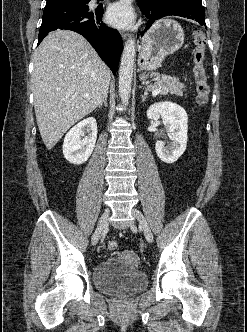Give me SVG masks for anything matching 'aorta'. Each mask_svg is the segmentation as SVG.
Listing matches in <instances>:
<instances>
[{
  "label": "aorta",
  "mask_w": 247,
  "mask_h": 332,
  "mask_svg": "<svg viewBox=\"0 0 247 332\" xmlns=\"http://www.w3.org/2000/svg\"><path fill=\"white\" fill-rule=\"evenodd\" d=\"M135 54V41L130 38L123 49L119 68V96L125 106L129 102L131 92Z\"/></svg>",
  "instance_id": "obj_1"
}]
</instances>
